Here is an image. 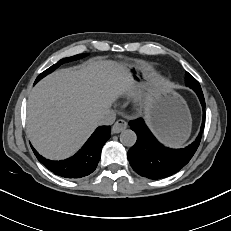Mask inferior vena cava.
<instances>
[{"instance_id": "inferior-vena-cava-1", "label": "inferior vena cava", "mask_w": 231, "mask_h": 231, "mask_svg": "<svg viewBox=\"0 0 231 231\" xmlns=\"http://www.w3.org/2000/svg\"><path fill=\"white\" fill-rule=\"evenodd\" d=\"M116 113L113 110L105 112L98 120L99 125H112L115 121Z\"/></svg>"}]
</instances>
